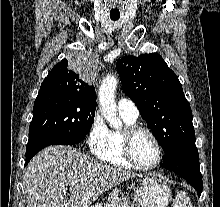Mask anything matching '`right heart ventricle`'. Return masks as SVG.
Instances as JSON below:
<instances>
[{"mask_svg":"<svg viewBox=\"0 0 220 207\" xmlns=\"http://www.w3.org/2000/svg\"><path fill=\"white\" fill-rule=\"evenodd\" d=\"M120 115L125 123V126L136 123V119H133L124 114ZM122 131L123 130H109L106 141L97 151L94 152V155L99 160L109 165L120 168L133 169L135 167L127 161L123 154Z\"/></svg>","mask_w":220,"mask_h":207,"instance_id":"1","label":"right heart ventricle"}]
</instances>
